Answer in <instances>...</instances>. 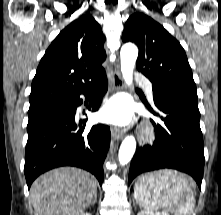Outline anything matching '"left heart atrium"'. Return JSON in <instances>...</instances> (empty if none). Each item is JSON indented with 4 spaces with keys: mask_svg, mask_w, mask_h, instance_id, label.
<instances>
[{
    "mask_svg": "<svg viewBox=\"0 0 221 215\" xmlns=\"http://www.w3.org/2000/svg\"><path fill=\"white\" fill-rule=\"evenodd\" d=\"M101 120L117 125L128 124L132 118V110L129 103L123 98H114L100 111Z\"/></svg>",
    "mask_w": 221,
    "mask_h": 215,
    "instance_id": "obj_1",
    "label": "left heart atrium"
}]
</instances>
